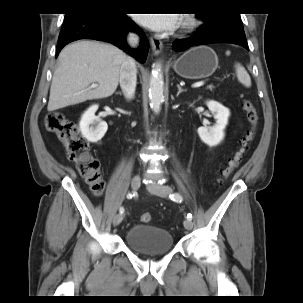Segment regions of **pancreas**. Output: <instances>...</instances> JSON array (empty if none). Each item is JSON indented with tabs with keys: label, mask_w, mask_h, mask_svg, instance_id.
<instances>
[{
	"label": "pancreas",
	"mask_w": 303,
	"mask_h": 303,
	"mask_svg": "<svg viewBox=\"0 0 303 303\" xmlns=\"http://www.w3.org/2000/svg\"><path fill=\"white\" fill-rule=\"evenodd\" d=\"M213 88H214L213 85L207 86V89H209V90H211V91L213 90Z\"/></svg>",
	"instance_id": "pancreas-1"
}]
</instances>
